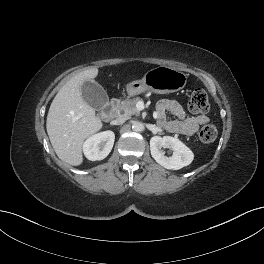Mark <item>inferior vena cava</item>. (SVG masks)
Listing matches in <instances>:
<instances>
[{"mask_svg": "<svg viewBox=\"0 0 264 264\" xmlns=\"http://www.w3.org/2000/svg\"><path fill=\"white\" fill-rule=\"evenodd\" d=\"M127 120V117L120 116L117 119L111 121L112 125H122Z\"/></svg>", "mask_w": 264, "mask_h": 264, "instance_id": "602c4592", "label": "inferior vena cava"}]
</instances>
